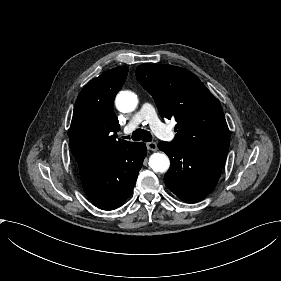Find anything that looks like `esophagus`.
<instances>
[{"label": "esophagus", "mask_w": 281, "mask_h": 281, "mask_svg": "<svg viewBox=\"0 0 281 281\" xmlns=\"http://www.w3.org/2000/svg\"><path fill=\"white\" fill-rule=\"evenodd\" d=\"M146 147H147L148 150H151V151L157 150V144L155 142L146 143Z\"/></svg>", "instance_id": "1"}]
</instances>
